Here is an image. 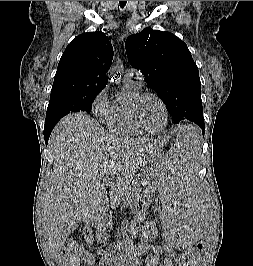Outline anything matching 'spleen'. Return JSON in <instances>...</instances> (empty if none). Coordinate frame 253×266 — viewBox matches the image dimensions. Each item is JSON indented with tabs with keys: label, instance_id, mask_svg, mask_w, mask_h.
<instances>
[{
	"label": "spleen",
	"instance_id": "obj_1",
	"mask_svg": "<svg viewBox=\"0 0 253 266\" xmlns=\"http://www.w3.org/2000/svg\"><path fill=\"white\" fill-rule=\"evenodd\" d=\"M180 132L188 131L187 123L179 124ZM170 153L159 161L160 185L155 194L163 199L161 242L163 248H198L203 242L204 216H212V207H204V190L200 184V161L205 156V135H197L189 128L186 135H172Z\"/></svg>",
	"mask_w": 253,
	"mask_h": 266
}]
</instances>
